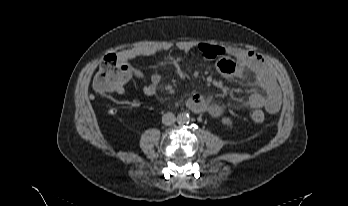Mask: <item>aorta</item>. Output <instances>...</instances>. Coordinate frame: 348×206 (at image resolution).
Here are the masks:
<instances>
[{
    "mask_svg": "<svg viewBox=\"0 0 348 206\" xmlns=\"http://www.w3.org/2000/svg\"><path fill=\"white\" fill-rule=\"evenodd\" d=\"M177 122L180 125H185L188 124L190 122V116L189 114L182 112L180 114H178L177 116Z\"/></svg>",
    "mask_w": 348,
    "mask_h": 206,
    "instance_id": "aorta-1",
    "label": "aorta"
}]
</instances>
